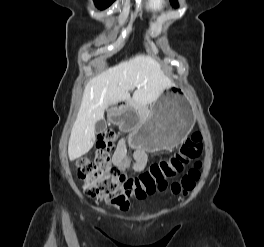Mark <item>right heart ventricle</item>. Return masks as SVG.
<instances>
[{
  "label": "right heart ventricle",
  "mask_w": 264,
  "mask_h": 247,
  "mask_svg": "<svg viewBox=\"0 0 264 247\" xmlns=\"http://www.w3.org/2000/svg\"><path fill=\"white\" fill-rule=\"evenodd\" d=\"M168 6L167 0H148L147 8L153 12H162Z\"/></svg>",
  "instance_id": "e07e8e85"
}]
</instances>
